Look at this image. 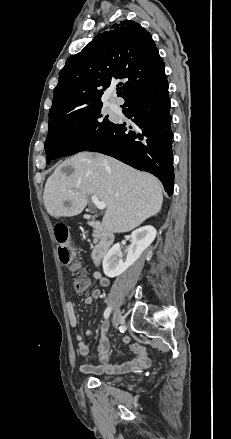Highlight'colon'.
Listing matches in <instances>:
<instances>
[{
	"label": "colon",
	"instance_id": "1",
	"mask_svg": "<svg viewBox=\"0 0 231 439\" xmlns=\"http://www.w3.org/2000/svg\"><path fill=\"white\" fill-rule=\"evenodd\" d=\"M55 238L58 245V257L62 264L68 266L72 272H79L80 266L74 260V251L68 243V229L66 226H57L54 230ZM74 289L78 292H84L90 287L89 279L81 275L73 283Z\"/></svg>",
	"mask_w": 231,
	"mask_h": 439
}]
</instances>
